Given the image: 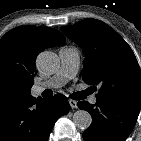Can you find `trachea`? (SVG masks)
<instances>
[{
    "label": "trachea",
    "mask_w": 141,
    "mask_h": 141,
    "mask_svg": "<svg viewBox=\"0 0 141 141\" xmlns=\"http://www.w3.org/2000/svg\"><path fill=\"white\" fill-rule=\"evenodd\" d=\"M85 95H86V92H82V93H77V98L78 99H83L84 97H85ZM74 99H76V97L75 96H72Z\"/></svg>",
    "instance_id": "3493384b"
}]
</instances>
